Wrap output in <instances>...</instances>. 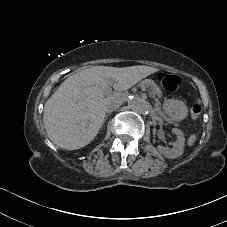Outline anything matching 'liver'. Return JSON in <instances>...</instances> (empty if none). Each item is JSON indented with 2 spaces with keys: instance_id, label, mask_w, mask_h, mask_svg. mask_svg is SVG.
<instances>
[{
  "instance_id": "6515ba94",
  "label": "liver",
  "mask_w": 227,
  "mask_h": 227,
  "mask_svg": "<svg viewBox=\"0 0 227 227\" xmlns=\"http://www.w3.org/2000/svg\"><path fill=\"white\" fill-rule=\"evenodd\" d=\"M158 69L143 65L98 66L67 77L46 101L43 123L50 141L65 150L89 145L98 135L106 113L104 89L112 82L124 91Z\"/></svg>"
}]
</instances>
